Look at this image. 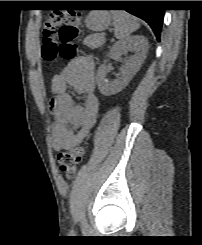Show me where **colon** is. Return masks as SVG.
I'll list each match as a JSON object with an SVG mask.
<instances>
[{
    "label": "colon",
    "mask_w": 202,
    "mask_h": 245,
    "mask_svg": "<svg viewBox=\"0 0 202 245\" xmlns=\"http://www.w3.org/2000/svg\"><path fill=\"white\" fill-rule=\"evenodd\" d=\"M80 19L71 12H60L45 17L42 38L41 56L47 63H52L57 57L72 61L78 51ZM85 153V145L79 144L62 151L59 154L61 172L68 178L76 175Z\"/></svg>",
    "instance_id": "5ec220e1"
}]
</instances>
